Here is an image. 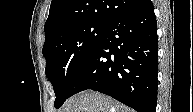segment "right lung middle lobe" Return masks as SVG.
Instances as JSON below:
<instances>
[{
    "instance_id": "1",
    "label": "right lung middle lobe",
    "mask_w": 193,
    "mask_h": 112,
    "mask_svg": "<svg viewBox=\"0 0 193 112\" xmlns=\"http://www.w3.org/2000/svg\"><path fill=\"white\" fill-rule=\"evenodd\" d=\"M106 28L98 23L75 24L59 31L44 43L45 73L54 88L55 108H59L70 97L76 78Z\"/></svg>"
}]
</instances>
